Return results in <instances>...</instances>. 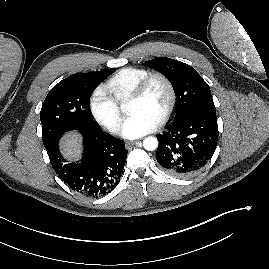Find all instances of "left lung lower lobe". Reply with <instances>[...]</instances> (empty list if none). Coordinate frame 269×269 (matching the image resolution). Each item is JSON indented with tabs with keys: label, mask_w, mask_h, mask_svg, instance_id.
<instances>
[{
	"label": "left lung lower lobe",
	"mask_w": 269,
	"mask_h": 269,
	"mask_svg": "<svg viewBox=\"0 0 269 269\" xmlns=\"http://www.w3.org/2000/svg\"><path fill=\"white\" fill-rule=\"evenodd\" d=\"M157 162L176 177H190L201 171L212 158L217 140L216 112H197L173 122L158 135Z\"/></svg>",
	"instance_id": "left-lung-lower-lobe-1"
}]
</instances>
